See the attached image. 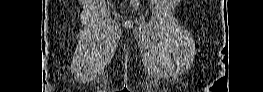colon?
<instances>
[{
    "label": "colon",
    "instance_id": "1",
    "mask_svg": "<svg viewBox=\"0 0 263 92\" xmlns=\"http://www.w3.org/2000/svg\"><path fill=\"white\" fill-rule=\"evenodd\" d=\"M131 3L134 5V6H137L139 1L138 0H132Z\"/></svg>",
    "mask_w": 263,
    "mask_h": 92
}]
</instances>
